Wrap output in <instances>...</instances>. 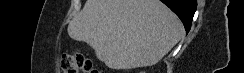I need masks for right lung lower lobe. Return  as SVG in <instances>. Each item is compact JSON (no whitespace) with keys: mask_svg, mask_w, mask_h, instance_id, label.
I'll list each match as a JSON object with an SVG mask.
<instances>
[{"mask_svg":"<svg viewBox=\"0 0 244 73\" xmlns=\"http://www.w3.org/2000/svg\"><path fill=\"white\" fill-rule=\"evenodd\" d=\"M167 5L183 22L186 33L190 31L196 11L197 0H160Z\"/></svg>","mask_w":244,"mask_h":73,"instance_id":"obj_1","label":"right lung lower lobe"}]
</instances>
